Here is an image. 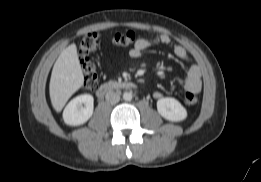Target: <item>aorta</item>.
<instances>
[{"label": "aorta", "mask_w": 261, "mask_h": 182, "mask_svg": "<svg viewBox=\"0 0 261 182\" xmlns=\"http://www.w3.org/2000/svg\"><path fill=\"white\" fill-rule=\"evenodd\" d=\"M133 98L132 92H124L123 93V99L125 101H131Z\"/></svg>", "instance_id": "obj_1"}]
</instances>
